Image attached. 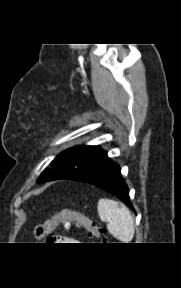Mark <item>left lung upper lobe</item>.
<instances>
[{
	"label": "left lung upper lobe",
	"instance_id": "1",
	"mask_svg": "<svg viewBox=\"0 0 181 288\" xmlns=\"http://www.w3.org/2000/svg\"><path fill=\"white\" fill-rule=\"evenodd\" d=\"M108 160L107 152L98 146H76L59 154L51 163L55 169L48 175L41 174L37 182L59 179L80 180Z\"/></svg>",
	"mask_w": 181,
	"mask_h": 288
}]
</instances>
